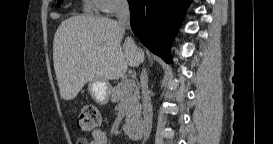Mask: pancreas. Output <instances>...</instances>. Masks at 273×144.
Listing matches in <instances>:
<instances>
[{
  "label": "pancreas",
  "mask_w": 273,
  "mask_h": 144,
  "mask_svg": "<svg viewBox=\"0 0 273 144\" xmlns=\"http://www.w3.org/2000/svg\"><path fill=\"white\" fill-rule=\"evenodd\" d=\"M128 80L120 82L117 86L110 88L112 102H123L126 106V125H131L137 121L141 113L140 94L137 86L131 89L126 86Z\"/></svg>",
  "instance_id": "1"
}]
</instances>
